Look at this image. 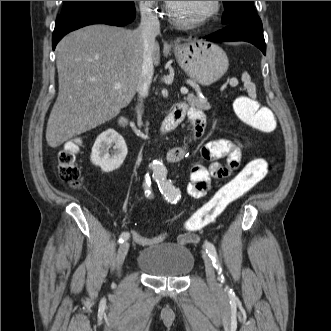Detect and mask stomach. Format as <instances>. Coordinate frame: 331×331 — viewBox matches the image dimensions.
Masks as SVG:
<instances>
[{
	"label": "stomach",
	"mask_w": 331,
	"mask_h": 331,
	"mask_svg": "<svg viewBox=\"0 0 331 331\" xmlns=\"http://www.w3.org/2000/svg\"><path fill=\"white\" fill-rule=\"evenodd\" d=\"M175 55L181 68L197 83L208 86L227 71L229 61L218 45L206 40H192L178 45Z\"/></svg>",
	"instance_id": "0dacf381"
}]
</instances>
